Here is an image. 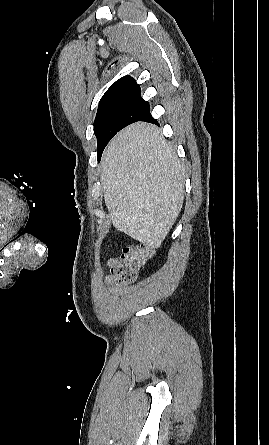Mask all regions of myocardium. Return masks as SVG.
I'll return each mask as SVG.
<instances>
[{"label":"myocardium","mask_w":269,"mask_h":445,"mask_svg":"<svg viewBox=\"0 0 269 445\" xmlns=\"http://www.w3.org/2000/svg\"><path fill=\"white\" fill-rule=\"evenodd\" d=\"M11 237V234L10 235H7L5 238H3V239H0V244H2V243H4L6 240H8L9 238Z\"/></svg>","instance_id":"myocardium-1"}]
</instances>
